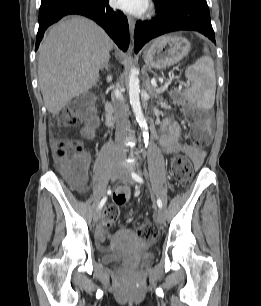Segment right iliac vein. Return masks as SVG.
<instances>
[{
	"instance_id": "right-iliac-vein-1",
	"label": "right iliac vein",
	"mask_w": 261,
	"mask_h": 306,
	"mask_svg": "<svg viewBox=\"0 0 261 306\" xmlns=\"http://www.w3.org/2000/svg\"><path fill=\"white\" fill-rule=\"evenodd\" d=\"M119 173H120V166L117 163H115L111 167V170H110V175H111L112 181H114L118 178ZM100 217H101V209L96 210V212L94 213V221L95 222L99 221Z\"/></svg>"
}]
</instances>
